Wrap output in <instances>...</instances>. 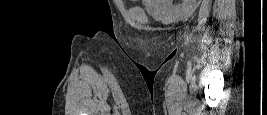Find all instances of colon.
<instances>
[{"instance_id": "1", "label": "colon", "mask_w": 267, "mask_h": 115, "mask_svg": "<svg viewBox=\"0 0 267 115\" xmlns=\"http://www.w3.org/2000/svg\"><path fill=\"white\" fill-rule=\"evenodd\" d=\"M192 0H184L183 2H191Z\"/></svg>"}]
</instances>
